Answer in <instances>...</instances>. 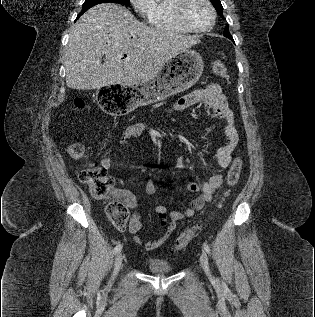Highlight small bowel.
<instances>
[{"instance_id": "1", "label": "small bowel", "mask_w": 315, "mask_h": 317, "mask_svg": "<svg viewBox=\"0 0 315 317\" xmlns=\"http://www.w3.org/2000/svg\"><path fill=\"white\" fill-rule=\"evenodd\" d=\"M197 103H202L206 109L213 113L214 118L224 120L226 123L225 134L227 137V143L218 148L213 155V158L217 161L218 165L222 169H225L230 165L232 160L231 154L239 141L234 114L229 107L227 99L222 94L220 86L216 83H211L204 89L196 90L181 97L175 102L173 111L182 112L187 107ZM146 129L147 124L145 123H135L128 126L120 137V143L124 144L132 138L139 137ZM119 151L122 152V150ZM101 165L106 169L111 168L112 159L109 156L103 157ZM183 166L184 163L182 157H178L176 167L183 168ZM222 182V174L217 173L212 175L202 184H188L187 189L190 192H198L199 194L191 201L189 208L184 211H168L165 206L156 205L154 210L160 219V225L164 228V233L158 239L153 241L144 240L138 236V232L142 227V221L136 210V198L126 190H119L117 194L124 198L127 205L133 210L129 222V232L133 235L134 241L142 245L146 250H154L162 246L173 234L178 221L192 217L196 211L202 209L204 205L212 201L215 191L222 185ZM145 190L148 195H154L156 193L155 180H149L146 184Z\"/></svg>"}]
</instances>
